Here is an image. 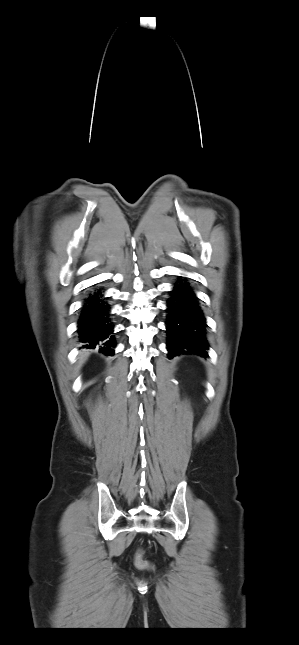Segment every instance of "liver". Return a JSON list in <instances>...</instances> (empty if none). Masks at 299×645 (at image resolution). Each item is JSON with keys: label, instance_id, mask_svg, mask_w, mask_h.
<instances>
[{"label": "liver", "instance_id": "obj_1", "mask_svg": "<svg viewBox=\"0 0 299 645\" xmlns=\"http://www.w3.org/2000/svg\"><path fill=\"white\" fill-rule=\"evenodd\" d=\"M86 356H87L86 353H83V354L80 355V358H79L80 363H83L85 361Z\"/></svg>", "mask_w": 299, "mask_h": 645}]
</instances>
